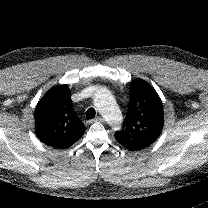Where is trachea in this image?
<instances>
[{
	"instance_id": "obj_1",
	"label": "trachea",
	"mask_w": 208,
	"mask_h": 208,
	"mask_svg": "<svg viewBox=\"0 0 208 208\" xmlns=\"http://www.w3.org/2000/svg\"><path fill=\"white\" fill-rule=\"evenodd\" d=\"M95 115H96V112H95L94 108H89L86 111V118H87V120L93 119L95 117Z\"/></svg>"
}]
</instances>
